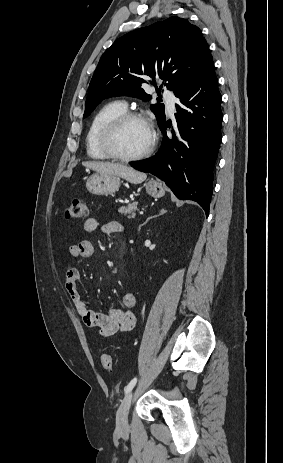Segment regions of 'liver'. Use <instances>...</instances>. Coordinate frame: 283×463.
<instances>
[{
  "label": "liver",
  "mask_w": 283,
  "mask_h": 463,
  "mask_svg": "<svg viewBox=\"0 0 283 463\" xmlns=\"http://www.w3.org/2000/svg\"><path fill=\"white\" fill-rule=\"evenodd\" d=\"M82 165L100 174L122 177L123 179L133 184L142 183L147 177L145 173L139 172L121 163L88 161L83 162Z\"/></svg>",
  "instance_id": "obj_1"
}]
</instances>
